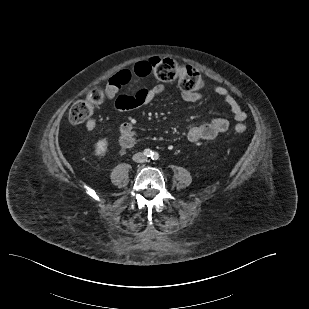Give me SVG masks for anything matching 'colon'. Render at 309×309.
Here are the masks:
<instances>
[{
  "instance_id": "colon-1",
  "label": "colon",
  "mask_w": 309,
  "mask_h": 309,
  "mask_svg": "<svg viewBox=\"0 0 309 309\" xmlns=\"http://www.w3.org/2000/svg\"><path fill=\"white\" fill-rule=\"evenodd\" d=\"M154 75L164 82L176 81L183 92H196L203 87L202 76L192 66L180 64L171 58H153L149 61ZM104 101V93L100 88L92 89L84 100L75 102L70 111L69 119L73 124L86 122L93 114L94 108ZM237 133H244L243 123L235 125Z\"/></svg>"
}]
</instances>
